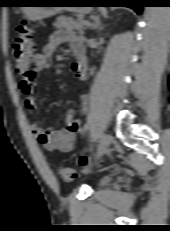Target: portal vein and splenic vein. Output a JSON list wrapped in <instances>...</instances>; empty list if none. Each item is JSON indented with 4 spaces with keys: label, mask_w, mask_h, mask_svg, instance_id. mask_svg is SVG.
<instances>
[{
    "label": "portal vein and splenic vein",
    "mask_w": 170,
    "mask_h": 231,
    "mask_svg": "<svg viewBox=\"0 0 170 231\" xmlns=\"http://www.w3.org/2000/svg\"><path fill=\"white\" fill-rule=\"evenodd\" d=\"M82 23H83L84 25H86V26H90V25H91V23H89L88 21H82Z\"/></svg>",
    "instance_id": "1"
}]
</instances>
